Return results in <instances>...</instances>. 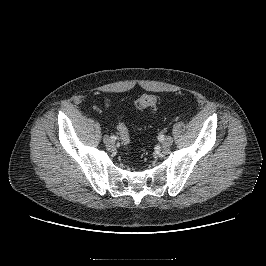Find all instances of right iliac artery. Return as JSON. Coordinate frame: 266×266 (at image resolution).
I'll use <instances>...</instances> for the list:
<instances>
[{
    "mask_svg": "<svg viewBox=\"0 0 266 266\" xmlns=\"http://www.w3.org/2000/svg\"><path fill=\"white\" fill-rule=\"evenodd\" d=\"M112 140H116V137L113 135L110 137Z\"/></svg>",
    "mask_w": 266,
    "mask_h": 266,
    "instance_id": "82829eb1",
    "label": "right iliac artery"
}]
</instances>
